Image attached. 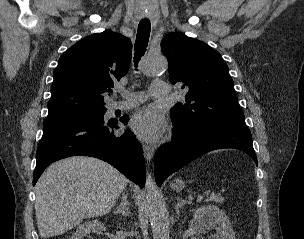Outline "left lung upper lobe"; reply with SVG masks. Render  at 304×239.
Returning a JSON list of instances; mask_svg holds the SVG:
<instances>
[{
    "label": "left lung upper lobe",
    "mask_w": 304,
    "mask_h": 239,
    "mask_svg": "<svg viewBox=\"0 0 304 239\" xmlns=\"http://www.w3.org/2000/svg\"><path fill=\"white\" fill-rule=\"evenodd\" d=\"M172 83H182L186 103L171 109V118L189 133L221 124L246 125L243 111L221 55L206 43L182 33L161 41Z\"/></svg>",
    "instance_id": "left-lung-upper-lobe-1"
}]
</instances>
